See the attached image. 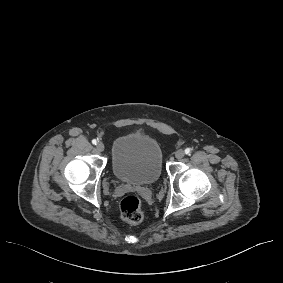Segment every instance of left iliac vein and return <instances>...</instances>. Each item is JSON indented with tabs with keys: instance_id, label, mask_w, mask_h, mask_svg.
Here are the masks:
<instances>
[{
	"instance_id": "left-iliac-vein-1",
	"label": "left iliac vein",
	"mask_w": 283,
	"mask_h": 283,
	"mask_svg": "<svg viewBox=\"0 0 283 283\" xmlns=\"http://www.w3.org/2000/svg\"><path fill=\"white\" fill-rule=\"evenodd\" d=\"M184 156H185V152H184V150H182V149H178V150L175 152V157H176L177 159H182Z\"/></svg>"
}]
</instances>
